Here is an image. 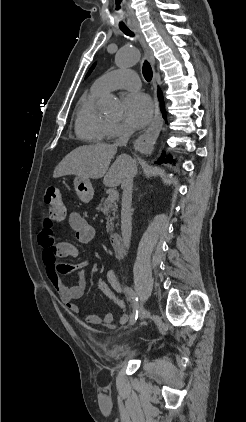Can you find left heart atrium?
<instances>
[{
  "label": "left heart atrium",
  "instance_id": "left-heart-atrium-1",
  "mask_svg": "<svg viewBox=\"0 0 246 422\" xmlns=\"http://www.w3.org/2000/svg\"><path fill=\"white\" fill-rule=\"evenodd\" d=\"M123 120L133 129L142 128L151 119L153 107L150 98L140 92L128 94L123 101Z\"/></svg>",
  "mask_w": 246,
  "mask_h": 422
}]
</instances>
